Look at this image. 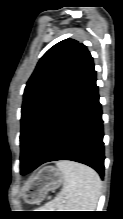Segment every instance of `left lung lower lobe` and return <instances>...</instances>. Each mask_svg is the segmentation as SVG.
<instances>
[{
    "label": "left lung lower lobe",
    "mask_w": 123,
    "mask_h": 219,
    "mask_svg": "<svg viewBox=\"0 0 123 219\" xmlns=\"http://www.w3.org/2000/svg\"><path fill=\"white\" fill-rule=\"evenodd\" d=\"M104 158L102 110L93 65L54 113L21 174L45 162L71 160L92 167L103 178Z\"/></svg>",
    "instance_id": "left-lung-lower-lobe-1"
}]
</instances>
